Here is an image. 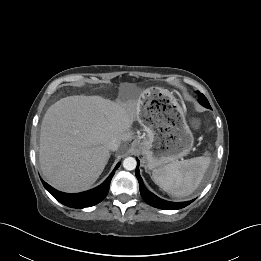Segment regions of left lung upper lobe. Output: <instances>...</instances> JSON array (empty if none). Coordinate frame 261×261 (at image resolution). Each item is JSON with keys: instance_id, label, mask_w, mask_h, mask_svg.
I'll return each instance as SVG.
<instances>
[{"instance_id": "obj_1", "label": "left lung upper lobe", "mask_w": 261, "mask_h": 261, "mask_svg": "<svg viewBox=\"0 0 261 261\" xmlns=\"http://www.w3.org/2000/svg\"><path fill=\"white\" fill-rule=\"evenodd\" d=\"M198 101H199V103L202 104L204 107L211 109V106H210V104H209L207 98H206L203 94H200Z\"/></svg>"}]
</instances>
